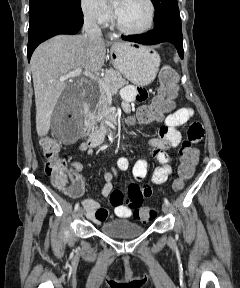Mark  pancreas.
<instances>
[{"instance_id":"pancreas-1","label":"pancreas","mask_w":240,"mask_h":288,"mask_svg":"<svg viewBox=\"0 0 240 288\" xmlns=\"http://www.w3.org/2000/svg\"><path fill=\"white\" fill-rule=\"evenodd\" d=\"M102 81L104 82V85H101L97 82L89 83L90 89L96 91L99 94L98 103L94 113H96V110L105 111L107 109V95L110 91L119 89L128 84V81L122 77L119 71L116 70L105 71V76L103 77ZM91 116V112L86 115L87 118Z\"/></svg>"}]
</instances>
